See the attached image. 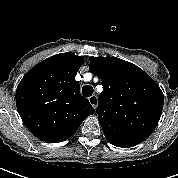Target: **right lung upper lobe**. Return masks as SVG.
I'll return each instance as SVG.
<instances>
[{
    "label": "right lung upper lobe",
    "mask_w": 178,
    "mask_h": 178,
    "mask_svg": "<svg viewBox=\"0 0 178 178\" xmlns=\"http://www.w3.org/2000/svg\"><path fill=\"white\" fill-rule=\"evenodd\" d=\"M83 63L84 59L73 53L57 54L38 63L20 81L17 110L37 138L52 143L65 141L95 113L75 80Z\"/></svg>",
    "instance_id": "right-lung-upper-lobe-1"
}]
</instances>
